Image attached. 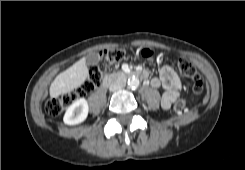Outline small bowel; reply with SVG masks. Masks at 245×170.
Returning <instances> with one entry per match:
<instances>
[{"mask_svg":"<svg viewBox=\"0 0 245 170\" xmlns=\"http://www.w3.org/2000/svg\"><path fill=\"white\" fill-rule=\"evenodd\" d=\"M150 84L154 88H164L161 98V104L164 109H169L181 94L178 78L169 66H162L160 68V77L151 79Z\"/></svg>","mask_w":245,"mask_h":170,"instance_id":"obj_1","label":"small bowel"}]
</instances>
